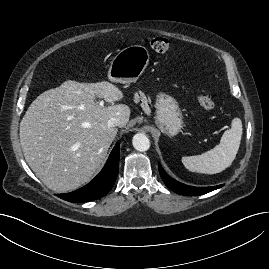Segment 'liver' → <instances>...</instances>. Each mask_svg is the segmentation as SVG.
<instances>
[{
	"mask_svg": "<svg viewBox=\"0 0 269 269\" xmlns=\"http://www.w3.org/2000/svg\"><path fill=\"white\" fill-rule=\"evenodd\" d=\"M96 97L112 105L97 104ZM124 97L109 83L67 80L40 94L20 122V143L35 175L51 190L61 193L88 182L100 168L117 129L112 117L125 127L130 108L113 103Z\"/></svg>",
	"mask_w": 269,
	"mask_h": 269,
	"instance_id": "obj_1",
	"label": "liver"
}]
</instances>
